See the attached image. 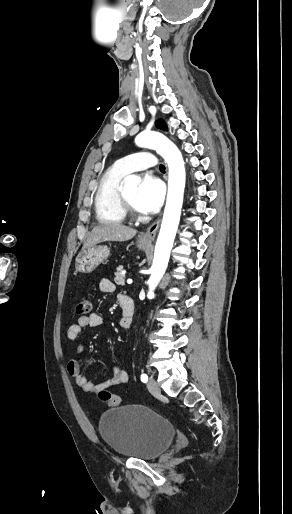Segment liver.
Instances as JSON below:
<instances>
[{"label":"liver","mask_w":292,"mask_h":514,"mask_svg":"<svg viewBox=\"0 0 292 514\" xmlns=\"http://www.w3.org/2000/svg\"><path fill=\"white\" fill-rule=\"evenodd\" d=\"M137 230L122 226V224H101L93 228L83 248H91L101 242H126L135 236Z\"/></svg>","instance_id":"1"}]
</instances>
